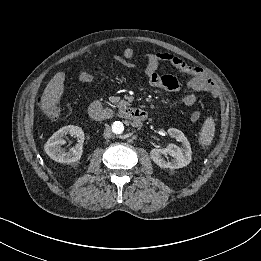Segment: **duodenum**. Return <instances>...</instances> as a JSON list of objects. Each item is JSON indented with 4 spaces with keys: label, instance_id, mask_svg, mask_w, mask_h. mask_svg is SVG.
<instances>
[{
    "label": "duodenum",
    "instance_id": "1",
    "mask_svg": "<svg viewBox=\"0 0 261 261\" xmlns=\"http://www.w3.org/2000/svg\"><path fill=\"white\" fill-rule=\"evenodd\" d=\"M89 114L93 119L98 121L106 120L113 116V112L111 110L101 107L99 103H94L91 106ZM120 115L135 122L136 124H141L147 118L146 111L135 107L124 108L120 112Z\"/></svg>",
    "mask_w": 261,
    "mask_h": 261
}]
</instances>
